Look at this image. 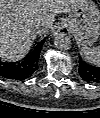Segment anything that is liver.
Wrapping results in <instances>:
<instances>
[{"instance_id":"liver-1","label":"liver","mask_w":100,"mask_h":118,"mask_svg":"<svg viewBox=\"0 0 100 118\" xmlns=\"http://www.w3.org/2000/svg\"><path fill=\"white\" fill-rule=\"evenodd\" d=\"M80 2L81 0H0L1 59L18 61L25 57L36 37L43 34H38L35 26L48 24L50 28L56 14L70 13Z\"/></svg>"}]
</instances>
